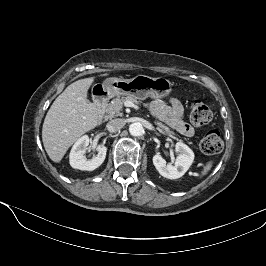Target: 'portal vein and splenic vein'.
I'll use <instances>...</instances> for the list:
<instances>
[{"mask_svg": "<svg viewBox=\"0 0 266 266\" xmlns=\"http://www.w3.org/2000/svg\"><path fill=\"white\" fill-rule=\"evenodd\" d=\"M125 106L126 107H133L135 109H138L139 107L137 105H135L132 101H126L125 102Z\"/></svg>", "mask_w": 266, "mask_h": 266, "instance_id": "portal-vein-and-splenic-vein-1", "label": "portal vein and splenic vein"}]
</instances>
